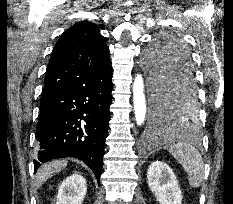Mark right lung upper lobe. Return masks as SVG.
Instances as JSON below:
<instances>
[{
    "mask_svg": "<svg viewBox=\"0 0 233 204\" xmlns=\"http://www.w3.org/2000/svg\"><path fill=\"white\" fill-rule=\"evenodd\" d=\"M110 52L99 27L83 21L67 29L57 41L48 63L43 95L66 87L91 71L110 65Z\"/></svg>",
    "mask_w": 233,
    "mask_h": 204,
    "instance_id": "cb5924a9",
    "label": "right lung upper lobe"
}]
</instances>
